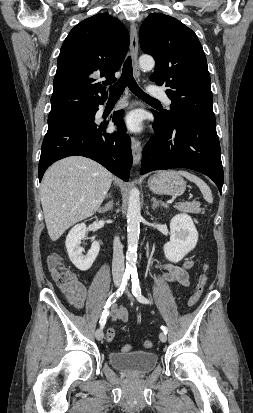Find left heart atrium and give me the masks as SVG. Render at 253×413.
I'll list each match as a JSON object with an SVG mask.
<instances>
[{
	"instance_id": "39dd6f15",
	"label": "left heart atrium",
	"mask_w": 253,
	"mask_h": 413,
	"mask_svg": "<svg viewBox=\"0 0 253 413\" xmlns=\"http://www.w3.org/2000/svg\"><path fill=\"white\" fill-rule=\"evenodd\" d=\"M122 125L129 131L139 132L142 129V116L138 111L126 114L122 119Z\"/></svg>"
}]
</instances>
